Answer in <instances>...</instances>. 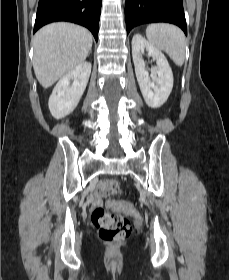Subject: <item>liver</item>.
I'll return each instance as SVG.
<instances>
[{"label":"liver","mask_w":229,"mask_h":280,"mask_svg":"<svg viewBox=\"0 0 229 280\" xmlns=\"http://www.w3.org/2000/svg\"><path fill=\"white\" fill-rule=\"evenodd\" d=\"M92 35L84 27L71 23H52L33 38V69L44 88L84 62L92 48Z\"/></svg>","instance_id":"6515ba94"}]
</instances>
